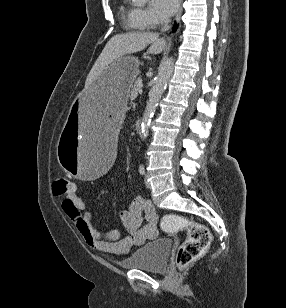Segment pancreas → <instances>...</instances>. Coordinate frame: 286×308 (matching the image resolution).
Masks as SVG:
<instances>
[{"instance_id":"pancreas-1","label":"pancreas","mask_w":286,"mask_h":308,"mask_svg":"<svg viewBox=\"0 0 286 308\" xmlns=\"http://www.w3.org/2000/svg\"><path fill=\"white\" fill-rule=\"evenodd\" d=\"M141 86H142L141 80L140 79L136 80L135 83L132 85V89H131L130 94H129V97L131 99H134V98L137 97V95L139 93L138 90L141 88Z\"/></svg>"}]
</instances>
